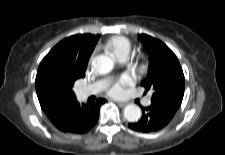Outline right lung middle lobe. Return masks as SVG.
Wrapping results in <instances>:
<instances>
[{"label": "right lung middle lobe", "mask_w": 225, "mask_h": 155, "mask_svg": "<svg viewBox=\"0 0 225 155\" xmlns=\"http://www.w3.org/2000/svg\"><path fill=\"white\" fill-rule=\"evenodd\" d=\"M84 77V76H83ZM78 78L76 77H72L67 81V87L70 91H72V86L74 85V82L77 80Z\"/></svg>", "instance_id": "dd1d6c3e"}]
</instances>
